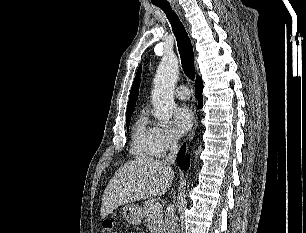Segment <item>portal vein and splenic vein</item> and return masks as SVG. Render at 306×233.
<instances>
[{
  "label": "portal vein and splenic vein",
  "mask_w": 306,
  "mask_h": 233,
  "mask_svg": "<svg viewBox=\"0 0 306 233\" xmlns=\"http://www.w3.org/2000/svg\"><path fill=\"white\" fill-rule=\"evenodd\" d=\"M161 209H162V205L159 202H156L150 207V212L157 213V212H160Z\"/></svg>",
  "instance_id": "portal-vein-and-splenic-vein-1"
}]
</instances>
